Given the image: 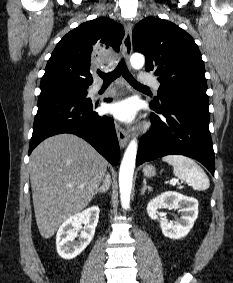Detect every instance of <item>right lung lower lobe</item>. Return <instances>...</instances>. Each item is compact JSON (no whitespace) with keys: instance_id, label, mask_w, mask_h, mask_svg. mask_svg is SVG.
Returning a JSON list of instances; mask_svg holds the SVG:
<instances>
[{"instance_id":"obj_1","label":"right lung lower lobe","mask_w":233,"mask_h":283,"mask_svg":"<svg viewBox=\"0 0 233 283\" xmlns=\"http://www.w3.org/2000/svg\"><path fill=\"white\" fill-rule=\"evenodd\" d=\"M97 105L98 102L86 95L62 91L40 93L29 154L47 137L71 133L85 139L110 163L117 165L120 149L114 121L94 112Z\"/></svg>"}]
</instances>
